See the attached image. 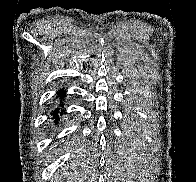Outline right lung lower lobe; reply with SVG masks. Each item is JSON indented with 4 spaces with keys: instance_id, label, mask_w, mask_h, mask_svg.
Masks as SVG:
<instances>
[{
    "instance_id": "1",
    "label": "right lung lower lobe",
    "mask_w": 196,
    "mask_h": 182,
    "mask_svg": "<svg viewBox=\"0 0 196 182\" xmlns=\"http://www.w3.org/2000/svg\"><path fill=\"white\" fill-rule=\"evenodd\" d=\"M66 96L64 89H60L57 93L56 98L59 99V106H57L56 108H54L51 112V116H52V121L53 124L55 126L58 125V121L60 120V118L62 117V115L65 113L64 110L61 109V107L64 106V102L63 99Z\"/></svg>"
}]
</instances>
